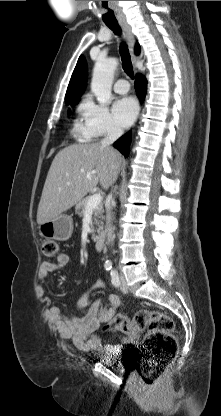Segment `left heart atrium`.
Wrapping results in <instances>:
<instances>
[{
	"label": "left heart atrium",
	"instance_id": "1",
	"mask_svg": "<svg viewBox=\"0 0 221 416\" xmlns=\"http://www.w3.org/2000/svg\"><path fill=\"white\" fill-rule=\"evenodd\" d=\"M113 113L120 126H130L138 113L136 100L128 96L116 100L113 105Z\"/></svg>",
	"mask_w": 221,
	"mask_h": 416
}]
</instances>
